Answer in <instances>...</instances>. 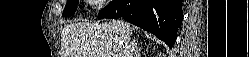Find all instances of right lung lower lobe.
<instances>
[{
    "label": "right lung lower lobe",
    "instance_id": "98d812e1",
    "mask_svg": "<svg viewBox=\"0 0 249 57\" xmlns=\"http://www.w3.org/2000/svg\"><path fill=\"white\" fill-rule=\"evenodd\" d=\"M181 0H114L98 14V18H120L130 22L172 47L182 22Z\"/></svg>",
    "mask_w": 249,
    "mask_h": 57
}]
</instances>
